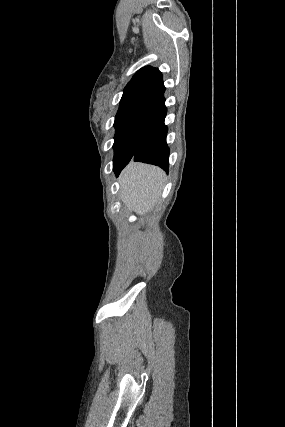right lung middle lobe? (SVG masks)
<instances>
[{"instance_id":"dd1d6c3e","label":"right lung middle lobe","mask_w":285,"mask_h":427,"mask_svg":"<svg viewBox=\"0 0 285 427\" xmlns=\"http://www.w3.org/2000/svg\"><path fill=\"white\" fill-rule=\"evenodd\" d=\"M146 115H135L114 122L113 170L119 168L133 158L142 143V128Z\"/></svg>"}]
</instances>
